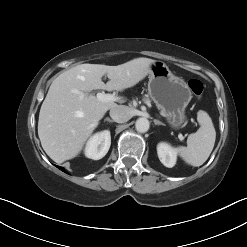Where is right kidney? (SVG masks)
<instances>
[{
    "label": "right kidney",
    "instance_id": "1",
    "mask_svg": "<svg viewBox=\"0 0 247 247\" xmlns=\"http://www.w3.org/2000/svg\"><path fill=\"white\" fill-rule=\"evenodd\" d=\"M110 145V131L104 130L101 132H97L86 143V147L84 150L85 156L93 160H99L107 154Z\"/></svg>",
    "mask_w": 247,
    "mask_h": 247
}]
</instances>
